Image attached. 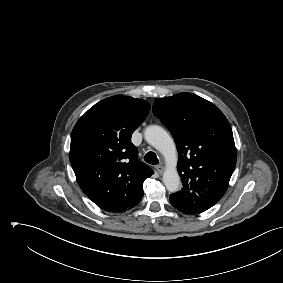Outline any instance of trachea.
<instances>
[{"instance_id": "1", "label": "trachea", "mask_w": 283, "mask_h": 283, "mask_svg": "<svg viewBox=\"0 0 283 283\" xmlns=\"http://www.w3.org/2000/svg\"><path fill=\"white\" fill-rule=\"evenodd\" d=\"M144 160L152 165H156L159 163V160L156 156V154L152 151H149L148 153H146V155L144 156Z\"/></svg>"}]
</instances>
